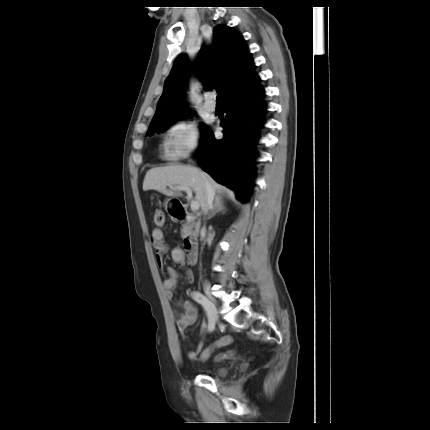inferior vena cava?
I'll list each match as a JSON object with an SVG mask.
<instances>
[{
	"instance_id": "602c4592",
	"label": "inferior vena cava",
	"mask_w": 430,
	"mask_h": 430,
	"mask_svg": "<svg viewBox=\"0 0 430 430\" xmlns=\"http://www.w3.org/2000/svg\"><path fill=\"white\" fill-rule=\"evenodd\" d=\"M214 190L211 184L205 180V196H204V211L207 213L209 209L213 208Z\"/></svg>"
}]
</instances>
